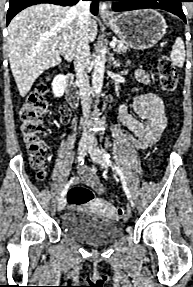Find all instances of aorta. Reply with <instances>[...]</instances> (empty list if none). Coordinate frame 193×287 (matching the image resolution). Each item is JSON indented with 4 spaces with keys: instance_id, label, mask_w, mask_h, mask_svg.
Wrapping results in <instances>:
<instances>
[{
    "instance_id": "762f6f07",
    "label": "aorta",
    "mask_w": 193,
    "mask_h": 287,
    "mask_svg": "<svg viewBox=\"0 0 193 287\" xmlns=\"http://www.w3.org/2000/svg\"><path fill=\"white\" fill-rule=\"evenodd\" d=\"M106 57L103 50L97 54L94 60V69L92 74V87L96 96H99L103 86L104 70H105Z\"/></svg>"
}]
</instances>
